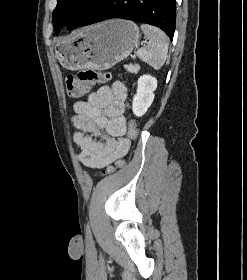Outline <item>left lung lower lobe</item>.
<instances>
[{"instance_id":"left-lung-lower-lobe-1","label":"left lung lower lobe","mask_w":247,"mask_h":280,"mask_svg":"<svg viewBox=\"0 0 247 280\" xmlns=\"http://www.w3.org/2000/svg\"><path fill=\"white\" fill-rule=\"evenodd\" d=\"M111 18L140 21L157 26L172 40L176 22L175 0H105L79 26Z\"/></svg>"}]
</instances>
